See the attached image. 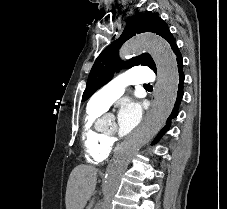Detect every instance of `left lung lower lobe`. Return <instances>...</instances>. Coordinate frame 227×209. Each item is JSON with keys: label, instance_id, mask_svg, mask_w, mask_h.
<instances>
[{"label": "left lung lower lobe", "instance_id": "0a47b994", "mask_svg": "<svg viewBox=\"0 0 227 209\" xmlns=\"http://www.w3.org/2000/svg\"><path fill=\"white\" fill-rule=\"evenodd\" d=\"M173 52L176 54V57H177L178 72H179V76H180L179 85H178V94H177L176 102L174 104V108H173L172 113L170 114L169 118L167 119L166 125L160 131V133L156 136V138L154 139L152 144L157 143L160 140V138L165 134V132L168 130L171 120L177 116L178 107H179L180 101L182 100V97H183V82H184V78H185L184 73H183V59H182V56H181V53H180L178 47H175L173 49Z\"/></svg>", "mask_w": 227, "mask_h": 209}]
</instances>
